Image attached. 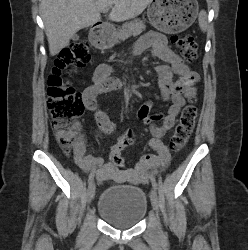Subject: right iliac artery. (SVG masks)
<instances>
[{
  "mask_svg": "<svg viewBox=\"0 0 248 250\" xmlns=\"http://www.w3.org/2000/svg\"><path fill=\"white\" fill-rule=\"evenodd\" d=\"M94 179V174H90L89 177H88V183L90 184Z\"/></svg>",
  "mask_w": 248,
  "mask_h": 250,
  "instance_id": "right-iliac-artery-1",
  "label": "right iliac artery"
}]
</instances>
